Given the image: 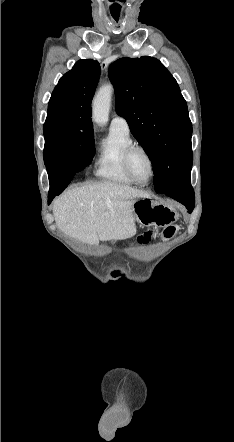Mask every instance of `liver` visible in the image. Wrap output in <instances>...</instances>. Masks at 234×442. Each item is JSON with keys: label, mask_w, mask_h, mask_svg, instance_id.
<instances>
[{"label": "liver", "mask_w": 234, "mask_h": 442, "mask_svg": "<svg viewBox=\"0 0 234 442\" xmlns=\"http://www.w3.org/2000/svg\"><path fill=\"white\" fill-rule=\"evenodd\" d=\"M137 198L149 195L112 182L86 184L58 197L53 214L58 228L81 242L124 240L136 234L132 206Z\"/></svg>", "instance_id": "obj_1"}]
</instances>
